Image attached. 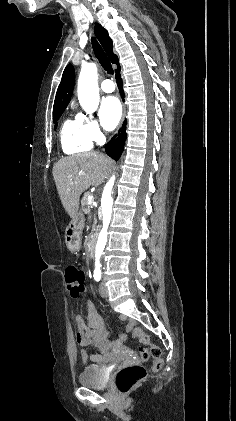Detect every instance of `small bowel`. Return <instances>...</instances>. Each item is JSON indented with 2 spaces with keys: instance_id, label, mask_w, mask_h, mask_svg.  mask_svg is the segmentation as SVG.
<instances>
[{
  "instance_id": "1",
  "label": "small bowel",
  "mask_w": 236,
  "mask_h": 421,
  "mask_svg": "<svg viewBox=\"0 0 236 421\" xmlns=\"http://www.w3.org/2000/svg\"><path fill=\"white\" fill-rule=\"evenodd\" d=\"M87 308L89 311L88 321H89L90 329H94V330L104 329L103 319L96 313L95 308L91 302L87 303ZM77 324L79 328L80 326L84 325L83 319L79 316L77 317ZM81 357L84 362L87 361L88 356H87L86 351L84 350L81 351Z\"/></svg>"
}]
</instances>
